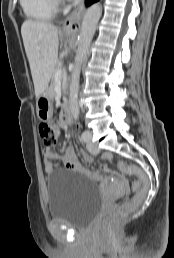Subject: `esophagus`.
Listing matches in <instances>:
<instances>
[{
	"label": "esophagus",
	"instance_id": "obj_1",
	"mask_svg": "<svg viewBox=\"0 0 174 258\" xmlns=\"http://www.w3.org/2000/svg\"><path fill=\"white\" fill-rule=\"evenodd\" d=\"M84 3H80L75 9L65 18L62 25L63 33H77L80 30V22L84 11Z\"/></svg>",
	"mask_w": 174,
	"mask_h": 258
}]
</instances>
